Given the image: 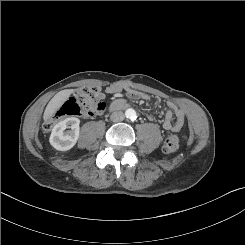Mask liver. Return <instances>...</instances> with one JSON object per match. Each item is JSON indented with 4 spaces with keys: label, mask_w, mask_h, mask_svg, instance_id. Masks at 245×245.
Masks as SVG:
<instances>
[{
    "label": "liver",
    "mask_w": 245,
    "mask_h": 245,
    "mask_svg": "<svg viewBox=\"0 0 245 245\" xmlns=\"http://www.w3.org/2000/svg\"><path fill=\"white\" fill-rule=\"evenodd\" d=\"M74 92L73 89H66L58 92L47 104L43 119L47 121L59 108L60 106L70 97Z\"/></svg>",
    "instance_id": "liver-1"
}]
</instances>
